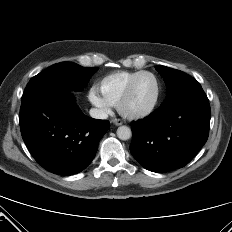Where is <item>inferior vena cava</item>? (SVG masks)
<instances>
[{"label": "inferior vena cava", "mask_w": 232, "mask_h": 232, "mask_svg": "<svg viewBox=\"0 0 232 232\" xmlns=\"http://www.w3.org/2000/svg\"><path fill=\"white\" fill-rule=\"evenodd\" d=\"M89 114L92 118L95 119H107L108 118V114L100 109L97 108H91L89 111Z\"/></svg>", "instance_id": "inferior-vena-cava-1"}]
</instances>
